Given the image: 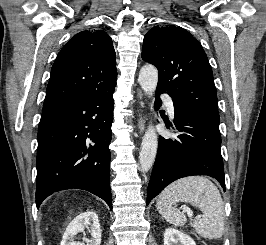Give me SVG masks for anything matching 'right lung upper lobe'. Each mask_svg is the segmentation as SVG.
Returning <instances> with one entry per match:
<instances>
[{
	"instance_id": "right-lung-upper-lobe-1",
	"label": "right lung upper lobe",
	"mask_w": 266,
	"mask_h": 245,
	"mask_svg": "<svg viewBox=\"0 0 266 245\" xmlns=\"http://www.w3.org/2000/svg\"><path fill=\"white\" fill-rule=\"evenodd\" d=\"M116 55L102 30L77 33L59 52L51 69L42 115L79 97L116 86Z\"/></svg>"
}]
</instances>
